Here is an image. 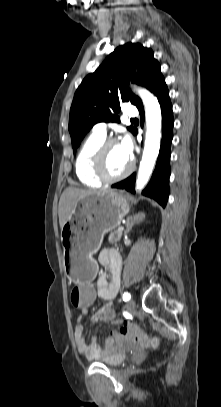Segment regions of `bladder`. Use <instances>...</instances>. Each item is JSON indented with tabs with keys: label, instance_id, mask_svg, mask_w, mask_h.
Masks as SVG:
<instances>
[{
	"label": "bladder",
	"instance_id": "obj_1",
	"mask_svg": "<svg viewBox=\"0 0 221 407\" xmlns=\"http://www.w3.org/2000/svg\"><path fill=\"white\" fill-rule=\"evenodd\" d=\"M126 359V354L118 351L117 349L107 355H103L98 362L108 366L117 367L121 365Z\"/></svg>",
	"mask_w": 221,
	"mask_h": 407
}]
</instances>
